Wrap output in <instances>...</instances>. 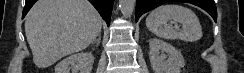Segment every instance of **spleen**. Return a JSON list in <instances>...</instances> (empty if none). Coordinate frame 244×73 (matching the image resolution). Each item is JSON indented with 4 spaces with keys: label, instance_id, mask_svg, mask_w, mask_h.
<instances>
[{
    "label": "spleen",
    "instance_id": "obj_1",
    "mask_svg": "<svg viewBox=\"0 0 244 73\" xmlns=\"http://www.w3.org/2000/svg\"><path fill=\"white\" fill-rule=\"evenodd\" d=\"M174 20L182 25L176 31L167 24ZM146 26L153 34L166 40L195 42L202 37V27L197 15L189 8L178 4H165L157 7L146 18Z\"/></svg>",
    "mask_w": 244,
    "mask_h": 73
}]
</instances>
